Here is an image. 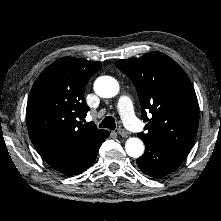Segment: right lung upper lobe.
<instances>
[{
    "instance_id": "right-lung-upper-lobe-1",
    "label": "right lung upper lobe",
    "mask_w": 221,
    "mask_h": 221,
    "mask_svg": "<svg viewBox=\"0 0 221 221\" xmlns=\"http://www.w3.org/2000/svg\"><path fill=\"white\" fill-rule=\"evenodd\" d=\"M102 64L73 57L53 62L30 91L26 117L33 145L40 153L84 143L108 131L83 124L89 111L85 86Z\"/></svg>"
}]
</instances>
